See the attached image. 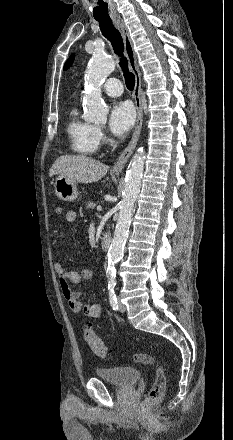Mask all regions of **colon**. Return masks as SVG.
<instances>
[{
    "instance_id": "5ec220e1",
    "label": "colon",
    "mask_w": 233,
    "mask_h": 440,
    "mask_svg": "<svg viewBox=\"0 0 233 440\" xmlns=\"http://www.w3.org/2000/svg\"><path fill=\"white\" fill-rule=\"evenodd\" d=\"M54 213L56 216L62 214V207L60 205L55 206ZM84 340L91 348L94 355L100 359H109L111 352L106 344L99 337L98 333L89 324H83L81 327ZM135 361L146 365L152 366L155 369L154 383L141 403V410L143 412H150L154 410L162 401L166 387V377L161 362L153 355L148 353H137L134 355Z\"/></svg>"
}]
</instances>
